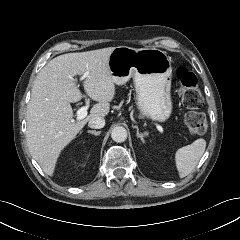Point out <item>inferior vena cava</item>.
<instances>
[{
	"instance_id": "obj_1",
	"label": "inferior vena cava",
	"mask_w": 240,
	"mask_h": 240,
	"mask_svg": "<svg viewBox=\"0 0 240 240\" xmlns=\"http://www.w3.org/2000/svg\"><path fill=\"white\" fill-rule=\"evenodd\" d=\"M88 126L94 129H100L105 126V119L101 116H96L90 119Z\"/></svg>"
}]
</instances>
